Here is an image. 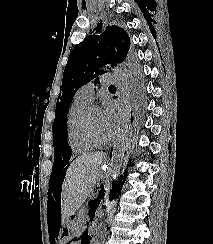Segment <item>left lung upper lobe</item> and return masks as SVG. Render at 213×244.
<instances>
[{"mask_svg": "<svg viewBox=\"0 0 213 244\" xmlns=\"http://www.w3.org/2000/svg\"><path fill=\"white\" fill-rule=\"evenodd\" d=\"M76 45L69 55L63 73L62 95L58 97L53 122L54 138L66 136V118L75 92L97 76L123 65L130 77V85L137 106H143L144 90L139 69L129 54L130 38L123 28L116 25L101 26ZM98 80V79H97Z\"/></svg>", "mask_w": 213, "mask_h": 244, "instance_id": "left-lung-upper-lobe-1", "label": "left lung upper lobe"}]
</instances>
